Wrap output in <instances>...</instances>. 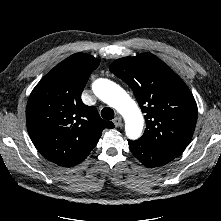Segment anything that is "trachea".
I'll use <instances>...</instances> for the list:
<instances>
[{
    "instance_id": "3493384b",
    "label": "trachea",
    "mask_w": 221,
    "mask_h": 221,
    "mask_svg": "<svg viewBox=\"0 0 221 221\" xmlns=\"http://www.w3.org/2000/svg\"><path fill=\"white\" fill-rule=\"evenodd\" d=\"M101 116L105 120H111L114 118V111L109 107H105L101 111Z\"/></svg>"
}]
</instances>
